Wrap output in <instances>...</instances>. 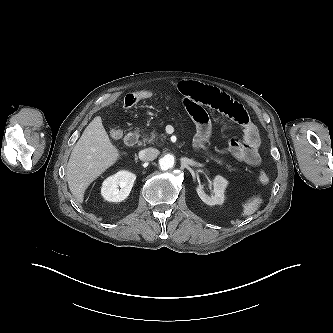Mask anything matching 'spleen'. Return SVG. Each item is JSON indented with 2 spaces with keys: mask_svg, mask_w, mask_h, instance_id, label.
<instances>
[{
  "mask_svg": "<svg viewBox=\"0 0 333 333\" xmlns=\"http://www.w3.org/2000/svg\"><path fill=\"white\" fill-rule=\"evenodd\" d=\"M260 205V200L259 199H252L249 200L245 205L243 209V215L249 216L252 215L254 212L257 211Z\"/></svg>",
  "mask_w": 333,
  "mask_h": 333,
  "instance_id": "3e777b00",
  "label": "spleen"
}]
</instances>
